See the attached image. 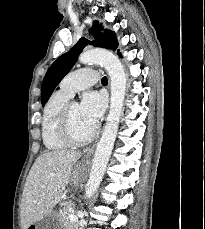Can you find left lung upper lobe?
Returning a JSON list of instances; mask_svg holds the SVG:
<instances>
[{"label": "left lung upper lobe", "instance_id": "left-lung-upper-lobe-1", "mask_svg": "<svg viewBox=\"0 0 205 229\" xmlns=\"http://www.w3.org/2000/svg\"><path fill=\"white\" fill-rule=\"evenodd\" d=\"M100 29L101 28L98 21H94L91 33L96 34L95 40L90 42L85 38H81L69 52L58 57L56 61L49 67L41 87L42 105L48 101L55 87L71 70L72 66L77 61L78 55L82 52L87 43L96 47L116 49L118 43L115 38V34L110 31H105V33L102 34L100 33ZM117 53H119V51Z\"/></svg>", "mask_w": 205, "mask_h": 229}]
</instances>
